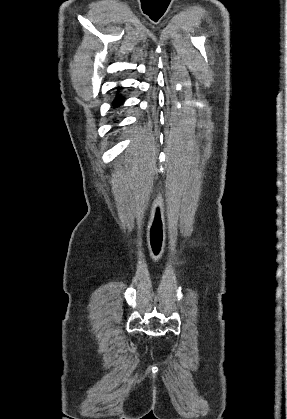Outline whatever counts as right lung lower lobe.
<instances>
[{"mask_svg": "<svg viewBox=\"0 0 287 419\" xmlns=\"http://www.w3.org/2000/svg\"><path fill=\"white\" fill-rule=\"evenodd\" d=\"M121 89H122L121 87L116 88L115 97L112 101V108H113L114 111L116 109H118L124 102V97L120 93ZM112 121L114 123H117L118 119L116 117H114Z\"/></svg>", "mask_w": 287, "mask_h": 419, "instance_id": "right-lung-lower-lobe-1", "label": "right lung lower lobe"}]
</instances>
